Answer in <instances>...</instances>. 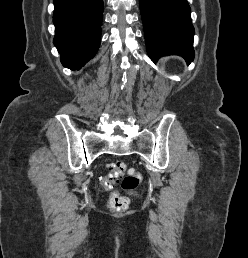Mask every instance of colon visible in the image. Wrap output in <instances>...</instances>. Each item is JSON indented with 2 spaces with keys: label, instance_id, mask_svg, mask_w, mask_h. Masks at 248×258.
Segmentation results:
<instances>
[{
  "label": "colon",
  "instance_id": "obj_1",
  "mask_svg": "<svg viewBox=\"0 0 248 258\" xmlns=\"http://www.w3.org/2000/svg\"><path fill=\"white\" fill-rule=\"evenodd\" d=\"M119 179L123 189L134 190L141 183L142 175L136 169L128 167L125 162L117 161L110 164L107 174L100 179V185L104 189H112ZM129 204V198L118 192H112L108 199L109 208L117 212L127 210Z\"/></svg>",
  "mask_w": 248,
  "mask_h": 258
}]
</instances>
